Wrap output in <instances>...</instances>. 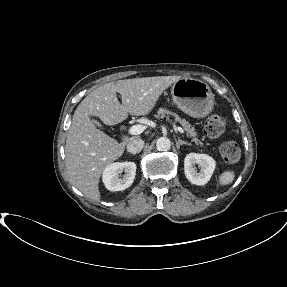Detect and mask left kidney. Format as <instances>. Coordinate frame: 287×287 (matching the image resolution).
Returning a JSON list of instances; mask_svg holds the SVG:
<instances>
[{"label": "left kidney", "instance_id": "5707ae66", "mask_svg": "<svg viewBox=\"0 0 287 287\" xmlns=\"http://www.w3.org/2000/svg\"><path fill=\"white\" fill-rule=\"evenodd\" d=\"M195 164H198L199 172H197ZM215 166V160L207 154L190 153L184 159L185 176L195 185H205L210 180Z\"/></svg>", "mask_w": 287, "mask_h": 287}]
</instances>
